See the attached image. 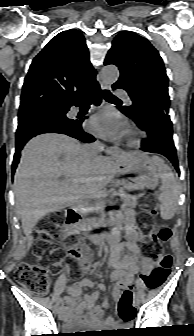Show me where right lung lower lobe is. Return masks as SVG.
<instances>
[{
	"label": "right lung lower lobe",
	"mask_w": 194,
	"mask_h": 336,
	"mask_svg": "<svg viewBox=\"0 0 194 336\" xmlns=\"http://www.w3.org/2000/svg\"><path fill=\"white\" fill-rule=\"evenodd\" d=\"M91 98L95 105L101 103L100 86L97 81L92 84L83 93L78 95L75 99H72L62 109L66 112L69 111L72 105L78 106L84 99ZM83 118L70 119L66 122H55L53 120H36L31 122H24L18 124L16 132V149L14 154V160L12 164V175L19 163L20 152L24 145L32 138L43 133H60L70 137L76 138L82 142H94L95 138L89 135L82 129Z\"/></svg>",
	"instance_id": "right-lung-lower-lobe-1"
}]
</instances>
